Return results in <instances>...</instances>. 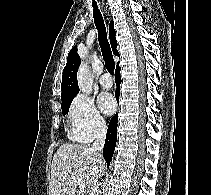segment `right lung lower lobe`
I'll use <instances>...</instances> for the list:
<instances>
[{
	"mask_svg": "<svg viewBox=\"0 0 211 195\" xmlns=\"http://www.w3.org/2000/svg\"><path fill=\"white\" fill-rule=\"evenodd\" d=\"M116 85L117 89L115 91V96L118 101L119 97V85L121 83V78H120V67L116 68ZM117 123H118V118L117 115L111 118V121L108 126L107 130V135H106V140H105V145L103 149V156L104 159L106 160L107 166H109L110 161L112 159L116 141H117Z\"/></svg>",
	"mask_w": 211,
	"mask_h": 195,
	"instance_id": "1",
	"label": "right lung lower lobe"
}]
</instances>
